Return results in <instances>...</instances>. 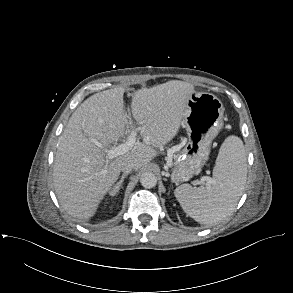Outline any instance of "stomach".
<instances>
[{"instance_id": "0dacf381", "label": "stomach", "mask_w": 293, "mask_h": 293, "mask_svg": "<svg viewBox=\"0 0 293 293\" xmlns=\"http://www.w3.org/2000/svg\"><path fill=\"white\" fill-rule=\"evenodd\" d=\"M182 120L188 142L175 157L172 179L184 182L192 178L208 159L211 143L223 127L224 106L214 95L194 91L186 104Z\"/></svg>"}]
</instances>
